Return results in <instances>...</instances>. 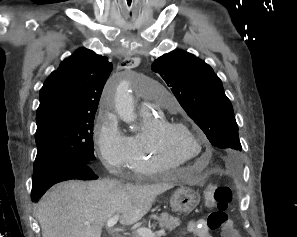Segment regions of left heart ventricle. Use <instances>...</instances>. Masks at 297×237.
<instances>
[{
  "instance_id": "1",
  "label": "left heart ventricle",
  "mask_w": 297,
  "mask_h": 237,
  "mask_svg": "<svg viewBox=\"0 0 297 237\" xmlns=\"http://www.w3.org/2000/svg\"><path fill=\"white\" fill-rule=\"evenodd\" d=\"M168 147L183 157H196L199 152L197 141L184 130H174L165 137Z\"/></svg>"
}]
</instances>
